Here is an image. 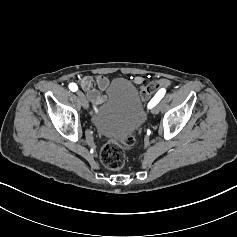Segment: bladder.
I'll return each mask as SVG.
<instances>
[{
    "instance_id": "obj_1",
    "label": "bladder",
    "mask_w": 237,
    "mask_h": 237,
    "mask_svg": "<svg viewBox=\"0 0 237 237\" xmlns=\"http://www.w3.org/2000/svg\"><path fill=\"white\" fill-rule=\"evenodd\" d=\"M91 120L97 132L111 141L131 135L145 120V108L137 88L126 79H117L109 90L108 101Z\"/></svg>"
}]
</instances>
